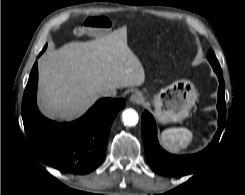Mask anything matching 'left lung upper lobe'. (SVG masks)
<instances>
[{
    "mask_svg": "<svg viewBox=\"0 0 245 195\" xmlns=\"http://www.w3.org/2000/svg\"><path fill=\"white\" fill-rule=\"evenodd\" d=\"M207 59L210 62V64L212 65L213 69H219L221 70L220 64L216 58V56L214 55L212 50H209L208 55H207Z\"/></svg>",
    "mask_w": 245,
    "mask_h": 195,
    "instance_id": "obj_1",
    "label": "left lung upper lobe"
}]
</instances>
